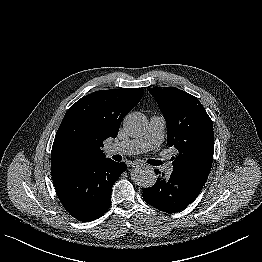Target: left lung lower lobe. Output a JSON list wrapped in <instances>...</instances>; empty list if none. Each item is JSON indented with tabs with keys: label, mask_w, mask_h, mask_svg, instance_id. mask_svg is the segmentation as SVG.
Masks as SVG:
<instances>
[{
	"label": "left lung lower lobe",
	"mask_w": 262,
	"mask_h": 262,
	"mask_svg": "<svg viewBox=\"0 0 262 262\" xmlns=\"http://www.w3.org/2000/svg\"><path fill=\"white\" fill-rule=\"evenodd\" d=\"M158 174L159 170H155ZM158 178L155 185L143 190V199L151 206L175 213L186 208L201 192L204 182L173 171L169 178Z\"/></svg>",
	"instance_id": "obj_1"
}]
</instances>
